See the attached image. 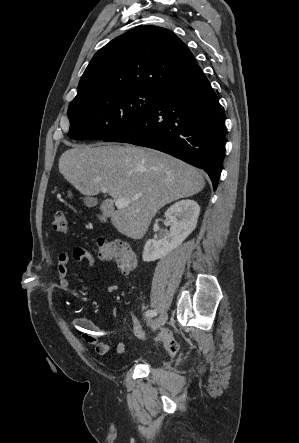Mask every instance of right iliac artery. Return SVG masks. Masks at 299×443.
I'll return each instance as SVG.
<instances>
[{
    "mask_svg": "<svg viewBox=\"0 0 299 443\" xmlns=\"http://www.w3.org/2000/svg\"><path fill=\"white\" fill-rule=\"evenodd\" d=\"M156 315H157V312L155 310H148L145 312V316L149 317V318L154 317Z\"/></svg>",
    "mask_w": 299,
    "mask_h": 443,
    "instance_id": "82829eb1",
    "label": "right iliac artery"
}]
</instances>
